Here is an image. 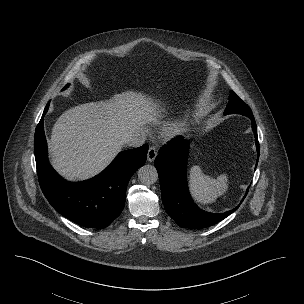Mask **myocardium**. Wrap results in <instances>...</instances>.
Returning a JSON list of instances; mask_svg holds the SVG:
<instances>
[{
	"label": "myocardium",
	"instance_id": "myocardium-1",
	"mask_svg": "<svg viewBox=\"0 0 304 304\" xmlns=\"http://www.w3.org/2000/svg\"><path fill=\"white\" fill-rule=\"evenodd\" d=\"M186 128H187V122L185 121H178L172 123L165 129V136L168 138L177 137L183 134L186 131Z\"/></svg>",
	"mask_w": 304,
	"mask_h": 304
}]
</instances>
